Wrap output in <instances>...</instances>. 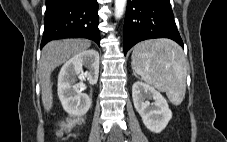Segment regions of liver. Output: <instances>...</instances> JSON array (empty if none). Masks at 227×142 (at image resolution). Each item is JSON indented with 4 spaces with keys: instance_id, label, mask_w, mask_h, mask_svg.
I'll return each mask as SVG.
<instances>
[{
    "instance_id": "liver-1",
    "label": "liver",
    "mask_w": 227,
    "mask_h": 142,
    "mask_svg": "<svg viewBox=\"0 0 227 142\" xmlns=\"http://www.w3.org/2000/svg\"><path fill=\"white\" fill-rule=\"evenodd\" d=\"M90 46L91 42L86 39H64L49 42L42 49L38 73L42 103L47 112L50 111L53 105L51 73L56 67L75 55L86 51Z\"/></svg>"
}]
</instances>
